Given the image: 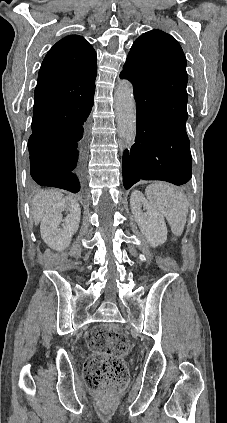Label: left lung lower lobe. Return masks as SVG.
I'll use <instances>...</instances> for the list:
<instances>
[{"instance_id":"left-lung-lower-lobe-1","label":"left lung lower lobe","mask_w":227,"mask_h":423,"mask_svg":"<svg viewBox=\"0 0 227 423\" xmlns=\"http://www.w3.org/2000/svg\"><path fill=\"white\" fill-rule=\"evenodd\" d=\"M137 111L135 143L123 154V184L161 180L182 185L191 179L192 158L185 123L187 112L162 113L134 91Z\"/></svg>"}]
</instances>
